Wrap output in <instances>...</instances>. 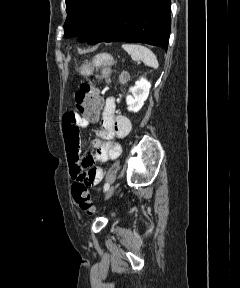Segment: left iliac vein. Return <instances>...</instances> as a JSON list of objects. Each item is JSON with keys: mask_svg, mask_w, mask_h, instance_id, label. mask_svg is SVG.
I'll return each mask as SVG.
<instances>
[{"mask_svg": "<svg viewBox=\"0 0 240 288\" xmlns=\"http://www.w3.org/2000/svg\"><path fill=\"white\" fill-rule=\"evenodd\" d=\"M114 189H115L114 186H111V187L108 189V191H107V193H106V195H105V200L109 199V198L112 196V194H113V192H114Z\"/></svg>", "mask_w": 240, "mask_h": 288, "instance_id": "1", "label": "left iliac vein"}]
</instances>
